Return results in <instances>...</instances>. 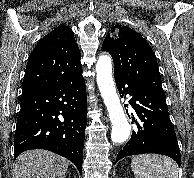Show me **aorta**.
I'll return each mask as SVG.
<instances>
[{
    "label": "aorta",
    "instance_id": "aorta-1",
    "mask_svg": "<svg viewBox=\"0 0 194 178\" xmlns=\"http://www.w3.org/2000/svg\"><path fill=\"white\" fill-rule=\"evenodd\" d=\"M96 73L97 84L112 123L111 140L114 143H122L130 136L131 126L125 117L116 92L110 56L101 55L99 57L96 64Z\"/></svg>",
    "mask_w": 194,
    "mask_h": 178
}]
</instances>
